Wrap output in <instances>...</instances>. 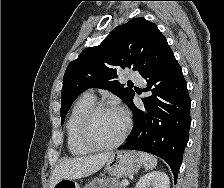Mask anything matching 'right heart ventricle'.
<instances>
[{
  "label": "right heart ventricle",
  "instance_id": "e07e8e85",
  "mask_svg": "<svg viewBox=\"0 0 224 188\" xmlns=\"http://www.w3.org/2000/svg\"><path fill=\"white\" fill-rule=\"evenodd\" d=\"M95 105V98L88 94H83L74 103L67 122H66V140L67 147L73 155H84L91 151L80 138V125L85 114Z\"/></svg>",
  "mask_w": 224,
  "mask_h": 188
}]
</instances>
